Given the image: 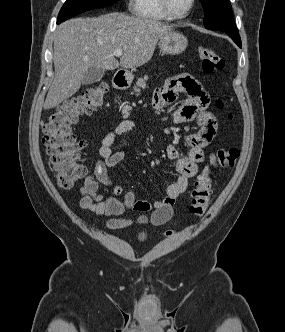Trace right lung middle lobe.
<instances>
[{
  "label": "right lung middle lobe",
  "mask_w": 285,
  "mask_h": 332,
  "mask_svg": "<svg viewBox=\"0 0 285 332\" xmlns=\"http://www.w3.org/2000/svg\"><path fill=\"white\" fill-rule=\"evenodd\" d=\"M115 2L116 0H66L59 12L57 22L61 23L68 18L90 9L111 6Z\"/></svg>",
  "instance_id": "1"
}]
</instances>
